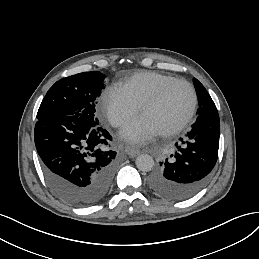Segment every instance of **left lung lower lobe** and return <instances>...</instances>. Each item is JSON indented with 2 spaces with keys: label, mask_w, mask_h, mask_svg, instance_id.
Returning <instances> with one entry per match:
<instances>
[{
  "label": "left lung lower lobe",
  "mask_w": 259,
  "mask_h": 259,
  "mask_svg": "<svg viewBox=\"0 0 259 259\" xmlns=\"http://www.w3.org/2000/svg\"><path fill=\"white\" fill-rule=\"evenodd\" d=\"M220 121L218 112L198 116L196 123L176 143L177 151L160 163L148 179L151 189L175 201L185 200L199 192L214 168L219 148Z\"/></svg>",
  "instance_id": "0a47b994"
}]
</instances>
